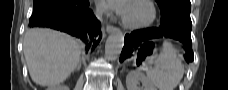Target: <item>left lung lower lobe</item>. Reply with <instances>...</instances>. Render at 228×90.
I'll use <instances>...</instances> for the list:
<instances>
[{
	"label": "left lung lower lobe",
	"instance_id": "1",
	"mask_svg": "<svg viewBox=\"0 0 228 90\" xmlns=\"http://www.w3.org/2000/svg\"><path fill=\"white\" fill-rule=\"evenodd\" d=\"M191 26L190 24L178 23L177 21H169L161 19L159 28H148L132 32L125 36V44L122 50L120 61L130 56L133 52L132 46H138L139 42L147 39H153L158 37H169L180 41L184 45L185 60L189 63L194 60L192 51L191 40Z\"/></svg>",
	"mask_w": 228,
	"mask_h": 90
}]
</instances>
